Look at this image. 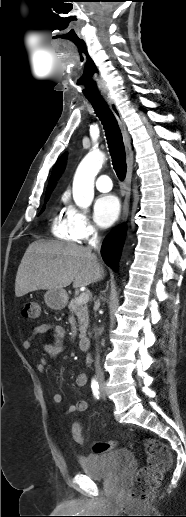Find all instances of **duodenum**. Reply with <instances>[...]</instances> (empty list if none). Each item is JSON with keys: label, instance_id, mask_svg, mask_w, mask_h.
Returning <instances> with one entry per match:
<instances>
[{"label": "duodenum", "instance_id": "410a0bca", "mask_svg": "<svg viewBox=\"0 0 186 517\" xmlns=\"http://www.w3.org/2000/svg\"><path fill=\"white\" fill-rule=\"evenodd\" d=\"M78 343L81 350L87 351L90 348L91 340L88 336H82L79 338Z\"/></svg>", "mask_w": 186, "mask_h": 517}]
</instances>
